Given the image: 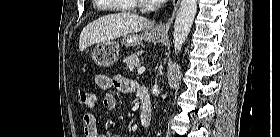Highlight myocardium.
Listing matches in <instances>:
<instances>
[{"label":"myocardium","instance_id":"1","mask_svg":"<svg viewBox=\"0 0 280 137\" xmlns=\"http://www.w3.org/2000/svg\"><path fill=\"white\" fill-rule=\"evenodd\" d=\"M138 5L145 9H152L155 5L148 3L147 0H134Z\"/></svg>","mask_w":280,"mask_h":137}]
</instances>
